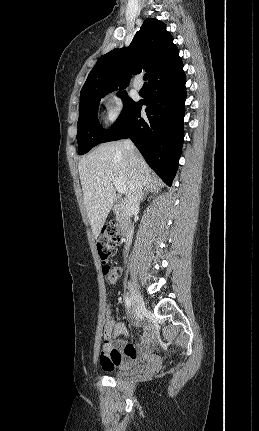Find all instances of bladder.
<instances>
[{
	"mask_svg": "<svg viewBox=\"0 0 259 431\" xmlns=\"http://www.w3.org/2000/svg\"><path fill=\"white\" fill-rule=\"evenodd\" d=\"M139 371V367L137 366H130V367H122L119 369H113L110 370L109 373L111 376L115 378H123L127 377L129 375H133Z\"/></svg>",
	"mask_w": 259,
	"mask_h": 431,
	"instance_id": "1",
	"label": "bladder"
}]
</instances>
